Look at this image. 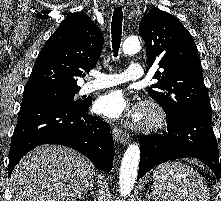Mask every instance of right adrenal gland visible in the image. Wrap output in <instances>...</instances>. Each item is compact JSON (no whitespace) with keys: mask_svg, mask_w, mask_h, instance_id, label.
<instances>
[{"mask_svg":"<svg viewBox=\"0 0 221 201\" xmlns=\"http://www.w3.org/2000/svg\"><path fill=\"white\" fill-rule=\"evenodd\" d=\"M93 189H94V184H92L91 187L89 188V192H90L91 195L93 194ZM85 195H87V193L82 195V197L84 198Z\"/></svg>","mask_w":221,"mask_h":201,"instance_id":"right-adrenal-gland-1","label":"right adrenal gland"}]
</instances>
